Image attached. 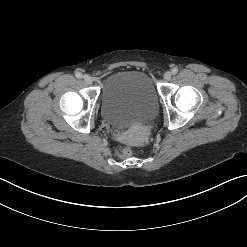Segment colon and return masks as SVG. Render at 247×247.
<instances>
[{
    "label": "colon",
    "mask_w": 247,
    "mask_h": 247,
    "mask_svg": "<svg viewBox=\"0 0 247 247\" xmlns=\"http://www.w3.org/2000/svg\"><path fill=\"white\" fill-rule=\"evenodd\" d=\"M117 152L120 156L126 157V156H130L133 153V149L128 145H123L119 147Z\"/></svg>",
    "instance_id": "1"
}]
</instances>
